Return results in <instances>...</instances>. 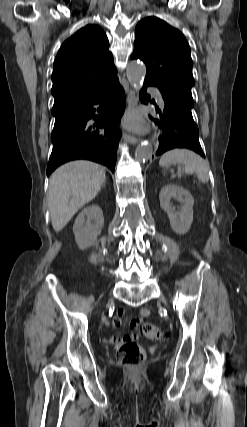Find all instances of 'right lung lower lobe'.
I'll list each match as a JSON object with an SVG mask.
<instances>
[{
	"instance_id": "1",
	"label": "right lung lower lobe",
	"mask_w": 247,
	"mask_h": 427,
	"mask_svg": "<svg viewBox=\"0 0 247 427\" xmlns=\"http://www.w3.org/2000/svg\"><path fill=\"white\" fill-rule=\"evenodd\" d=\"M124 109L125 93L118 80L93 95L54 104L53 150L47 176L76 159L101 163L114 172Z\"/></svg>"
}]
</instances>
